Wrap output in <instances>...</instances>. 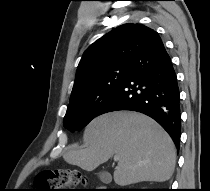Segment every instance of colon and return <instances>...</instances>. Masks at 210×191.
I'll use <instances>...</instances> for the list:
<instances>
[{
	"label": "colon",
	"mask_w": 210,
	"mask_h": 191,
	"mask_svg": "<svg viewBox=\"0 0 210 191\" xmlns=\"http://www.w3.org/2000/svg\"><path fill=\"white\" fill-rule=\"evenodd\" d=\"M86 180L76 170H55L39 174L35 179L33 191H83L64 187L85 184Z\"/></svg>",
	"instance_id": "obj_1"
}]
</instances>
